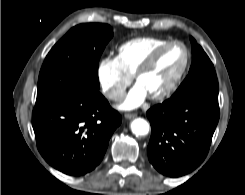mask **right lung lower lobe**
<instances>
[{
    "label": "right lung lower lobe",
    "mask_w": 245,
    "mask_h": 195,
    "mask_svg": "<svg viewBox=\"0 0 245 195\" xmlns=\"http://www.w3.org/2000/svg\"><path fill=\"white\" fill-rule=\"evenodd\" d=\"M122 117L100 92L35 105L37 147L55 169L72 176L92 171L102 160Z\"/></svg>",
    "instance_id": "1"
}]
</instances>
